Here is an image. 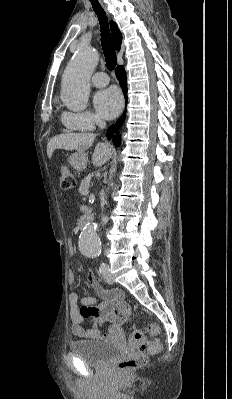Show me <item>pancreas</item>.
<instances>
[{"mask_svg": "<svg viewBox=\"0 0 232 399\" xmlns=\"http://www.w3.org/2000/svg\"><path fill=\"white\" fill-rule=\"evenodd\" d=\"M90 186V180L89 178H84V180H82L80 186H79V194H84V192H86V190H88Z\"/></svg>", "mask_w": 232, "mask_h": 399, "instance_id": "1", "label": "pancreas"}]
</instances>
